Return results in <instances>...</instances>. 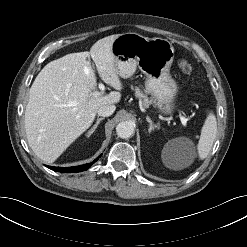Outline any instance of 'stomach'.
I'll return each mask as SVG.
<instances>
[{
  "mask_svg": "<svg viewBox=\"0 0 247 247\" xmlns=\"http://www.w3.org/2000/svg\"><path fill=\"white\" fill-rule=\"evenodd\" d=\"M112 51L118 75L129 78L139 68L146 75V93L152 96L163 112L171 113L179 90L170 75L174 59L172 43L167 39L124 33L114 40Z\"/></svg>",
  "mask_w": 247,
  "mask_h": 247,
  "instance_id": "0dacf381",
  "label": "stomach"
}]
</instances>
